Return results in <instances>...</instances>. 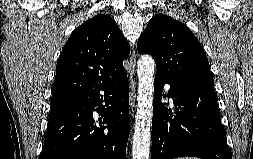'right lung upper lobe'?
<instances>
[{"label": "right lung upper lobe", "instance_id": "1", "mask_svg": "<svg viewBox=\"0 0 253 159\" xmlns=\"http://www.w3.org/2000/svg\"><path fill=\"white\" fill-rule=\"evenodd\" d=\"M130 46L116 22L99 14L76 28L56 66L51 103L75 101L124 71Z\"/></svg>", "mask_w": 253, "mask_h": 159}]
</instances>
